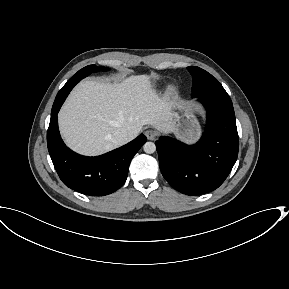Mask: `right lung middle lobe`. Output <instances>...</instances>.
Wrapping results in <instances>:
<instances>
[{
    "label": "right lung middle lobe",
    "instance_id": "dd1d6c3e",
    "mask_svg": "<svg viewBox=\"0 0 289 289\" xmlns=\"http://www.w3.org/2000/svg\"><path fill=\"white\" fill-rule=\"evenodd\" d=\"M109 69L106 67H96V65H89L86 66L84 68H82L81 70H79L73 77H86L89 74H91L92 72H97V71H108Z\"/></svg>",
    "mask_w": 289,
    "mask_h": 289
}]
</instances>
